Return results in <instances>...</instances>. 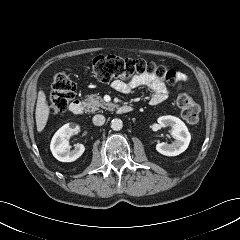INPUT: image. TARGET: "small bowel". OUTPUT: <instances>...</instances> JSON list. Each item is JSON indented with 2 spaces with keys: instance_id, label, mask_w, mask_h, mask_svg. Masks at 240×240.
Returning <instances> with one entry per match:
<instances>
[{
  "instance_id": "small-bowel-1",
  "label": "small bowel",
  "mask_w": 240,
  "mask_h": 240,
  "mask_svg": "<svg viewBox=\"0 0 240 240\" xmlns=\"http://www.w3.org/2000/svg\"><path fill=\"white\" fill-rule=\"evenodd\" d=\"M177 79L186 81L187 75L183 72H177ZM111 87L120 93L129 94L136 88H146L152 92L150 99L151 105H158L168 98L169 91L163 80L155 75H139L135 76L127 82L115 80Z\"/></svg>"
}]
</instances>
